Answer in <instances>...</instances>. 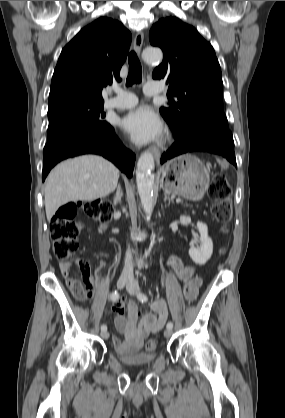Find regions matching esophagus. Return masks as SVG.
Segmentation results:
<instances>
[{"mask_svg": "<svg viewBox=\"0 0 285 418\" xmlns=\"http://www.w3.org/2000/svg\"><path fill=\"white\" fill-rule=\"evenodd\" d=\"M143 38H144L143 32L140 31V32L136 33L135 38H134V49H135L137 54H140V51H141V48H142V45H143ZM152 152H153L155 160L159 161V159L161 157L160 150L158 148L154 147L152 149Z\"/></svg>", "mask_w": 285, "mask_h": 418, "instance_id": "obj_1", "label": "esophagus"}]
</instances>
